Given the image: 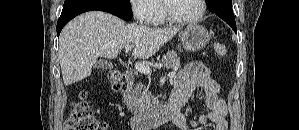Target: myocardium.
I'll return each mask as SVG.
<instances>
[{
  "label": "myocardium",
  "mask_w": 299,
  "mask_h": 130,
  "mask_svg": "<svg viewBox=\"0 0 299 130\" xmlns=\"http://www.w3.org/2000/svg\"><path fill=\"white\" fill-rule=\"evenodd\" d=\"M171 1L172 0H163L164 15H165L167 21H169L171 23L179 24V25H192V24L198 23L205 15V12H206L205 0H198L199 6H200L199 13L195 17H192V18H178V17L174 16L171 13L170 7H169V3Z\"/></svg>",
  "instance_id": "myocardium-1"
}]
</instances>
